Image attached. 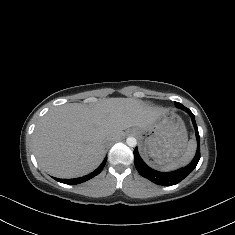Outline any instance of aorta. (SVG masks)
<instances>
[{
	"instance_id": "obj_1",
	"label": "aorta",
	"mask_w": 235,
	"mask_h": 235,
	"mask_svg": "<svg viewBox=\"0 0 235 235\" xmlns=\"http://www.w3.org/2000/svg\"><path fill=\"white\" fill-rule=\"evenodd\" d=\"M126 143H127V145L130 146V147H135L136 144H137V140H136V138H134V137H128V138L126 139Z\"/></svg>"
}]
</instances>
